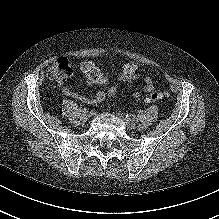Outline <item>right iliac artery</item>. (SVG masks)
Masks as SVG:
<instances>
[{"mask_svg":"<svg viewBox=\"0 0 219 219\" xmlns=\"http://www.w3.org/2000/svg\"><path fill=\"white\" fill-rule=\"evenodd\" d=\"M88 111H89V110H88L87 108H83V109H82V112H83V113H88Z\"/></svg>","mask_w":219,"mask_h":219,"instance_id":"82829eb1","label":"right iliac artery"}]
</instances>
